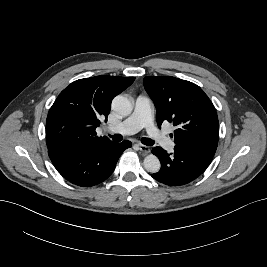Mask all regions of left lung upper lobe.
Returning <instances> with one entry per match:
<instances>
[{
  "instance_id": "left-lung-upper-lobe-1",
  "label": "left lung upper lobe",
  "mask_w": 267,
  "mask_h": 267,
  "mask_svg": "<svg viewBox=\"0 0 267 267\" xmlns=\"http://www.w3.org/2000/svg\"><path fill=\"white\" fill-rule=\"evenodd\" d=\"M144 87L157 109V123L176 126L175 147L200 150L214 155L219 139L216 110L196 84L171 76L145 77Z\"/></svg>"
}]
</instances>
